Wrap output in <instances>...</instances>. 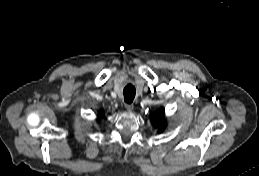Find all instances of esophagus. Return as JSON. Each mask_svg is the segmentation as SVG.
I'll use <instances>...</instances> for the list:
<instances>
[{
    "mask_svg": "<svg viewBox=\"0 0 259 176\" xmlns=\"http://www.w3.org/2000/svg\"><path fill=\"white\" fill-rule=\"evenodd\" d=\"M125 108L128 110V111H132L133 110V108H134V106H133V104H125Z\"/></svg>",
    "mask_w": 259,
    "mask_h": 176,
    "instance_id": "34e87169",
    "label": "esophagus"
}]
</instances>
